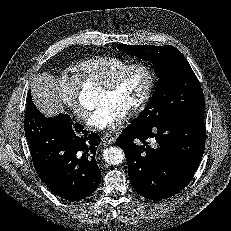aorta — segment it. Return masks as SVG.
Segmentation results:
<instances>
[{
	"mask_svg": "<svg viewBox=\"0 0 231 231\" xmlns=\"http://www.w3.org/2000/svg\"><path fill=\"white\" fill-rule=\"evenodd\" d=\"M90 99V95L86 91V93H84V97L81 100L83 103L85 101H91ZM103 157L107 163L112 165H119L125 160V153L122 148L118 146H111L103 151Z\"/></svg>",
	"mask_w": 231,
	"mask_h": 231,
	"instance_id": "obj_1",
	"label": "aorta"
}]
</instances>
